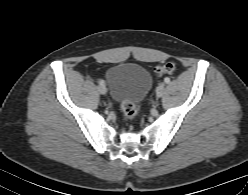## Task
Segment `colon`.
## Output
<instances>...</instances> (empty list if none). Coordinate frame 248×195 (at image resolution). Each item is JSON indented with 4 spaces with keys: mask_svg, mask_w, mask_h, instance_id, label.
<instances>
[{
    "mask_svg": "<svg viewBox=\"0 0 248 195\" xmlns=\"http://www.w3.org/2000/svg\"><path fill=\"white\" fill-rule=\"evenodd\" d=\"M176 70V64L172 61H169L161 66L156 67L155 72L158 75L162 74H171ZM121 110L123 112L124 118L133 122L137 115V105L129 100H125L121 102Z\"/></svg>",
    "mask_w": 248,
    "mask_h": 195,
    "instance_id": "1",
    "label": "colon"
}]
</instances>
